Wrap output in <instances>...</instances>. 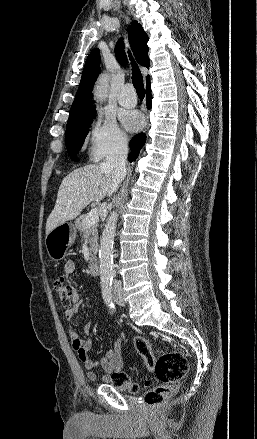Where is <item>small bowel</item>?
Wrapping results in <instances>:
<instances>
[{
	"mask_svg": "<svg viewBox=\"0 0 257 439\" xmlns=\"http://www.w3.org/2000/svg\"><path fill=\"white\" fill-rule=\"evenodd\" d=\"M75 271V264L73 261H67L64 264L63 272L65 276L71 275ZM83 299L80 298L79 293L74 289L73 304L65 311V318L68 321H73L79 312ZM92 323L89 322L83 329V332L88 334L90 332ZM68 334L71 339V345L75 351L79 361L83 364L87 377L92 381H100L108 383L114 375L120 373L124 366L123 358V341L116 340L114 346L99 360H93L90 357V350L92 341L90 339L82 338L80 330L71 324L68 329ZM101 369L103 375L99 376L97 370Z\"/></svg>",
	"mask_w": 257,
	"mask_h": 439,
	"instance_id": "1",
	"label": "small bowel"
}]
</instances>
